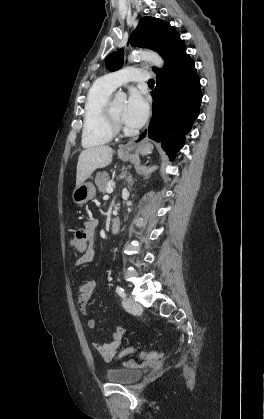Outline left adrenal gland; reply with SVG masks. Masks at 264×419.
Returning a JSON list of instances; mask_svg holds the SVG:
<instances>
[{"label": "left adrenal gland", "mask_w": 264, "mask_h": 419, "mask_svg": "<svg viewBox=\"0 0 264 419\" xmlns=\"http://www.w3.org/2000/svg\"><path fill=\"white\" fill-rule=\"evenodd\" d=\"M153 171H154V169H152V168H149V169L145 170L144 171L145 178H147Z\"/></svg>", "instance_id": "1"}]
</instances>
